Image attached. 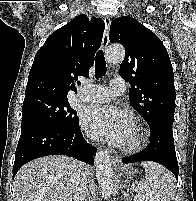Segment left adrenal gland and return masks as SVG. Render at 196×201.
<instances>
[{
    "mask_svg": "<svg viewBox=\"0 0 196 201\" xmlns=\"http://www.w3.org/2000/svg\"><path fill=\"white\" fill-rule=\"evenodd\" d=\"M128 182H129V180L127 178L121 184V191L123 192V196H124L125 199L128 198V191H129V188L127 186Z\"/></svg>",
    "mask_w": 196,
    "mask_h": 201,
    "instance_id": "obj_1",
    "label": "left adrenal gland"
}]
</instances>
